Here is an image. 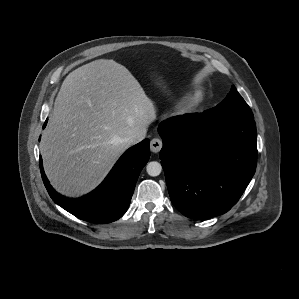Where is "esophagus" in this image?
Wrapping results in <instances>:
<instances>
[{"mask_svg":"<svg viewBox=\"0 0 299 299\" xmlns=\"http://www.w3.org/2000/svg\"><path fill=\"white\" fill-rule=\"evenodd\" d=\"M163 146L162 140L159 138H154L150 142V149L154 153H158Z\"/></svg>","mask_w":299,"mask_h":299,"instance_id":"34e87169","label":"esophagus"}]
</instances>
